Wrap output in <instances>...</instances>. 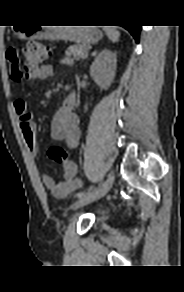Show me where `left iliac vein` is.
<instances>
[{"label": "left iliac vein", "mask_w": 184, "mask_h": 292, "mask_svg": "<svg viewBox=\"0 0 184 292\" xmlns=\"http://www.w3.org/2000/svg\"><path fill=\"white\" fill-rule=\"evenodd\" d=\"M114 179H115V176L110 175L100 187H98L96 190L91 192L85 198H82L79 201H77L74 204V208L77 209V208L83 207L84 205H87L89 203H92L104 197L113 187Z\"/></svg>", "instance_id": "4c4485c4"}]
</instances>
